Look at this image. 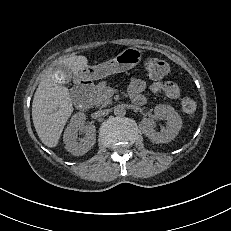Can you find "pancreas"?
<instances>
[{
    "label": "pancreas",
    "mask_w": 231,
    "mask_h": 231,
    "mask_svg": "<svg viewBox=\"0 0 231 231\" xmlns=\"http://www.w3.org/2000/svg\"><path fill=\"white\" fill-rule=\"evenodd\" d=\"M109 91L105 81L99 82L95 87L94 91L91 94L92 104L96 107H106L112 103L111 96L112 94Z\"/></svg>",
    "instance_id": "cf45deb5"
}]
</instances>
